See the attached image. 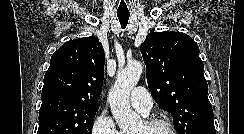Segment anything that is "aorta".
<instances>
[{
    "mask_svg": "<svg viewBox=\"0 0 244 134\" xmlns=\"http://www.w3.org/2000/svg\"><path fill=\"white\" fill-rule=\"evenodd\" d=\"M142 72L143 65L140 62L128 63L124 69L118 71L116 82L109 92L110 110L121 129L133 127L140 119L130 107L129 96Z\"/></svg>",
    "mask_w": 244,
    "mask_h": 134,
    "instance_id": "obj_1",
    "label": "aorta"
}]
</instances>
